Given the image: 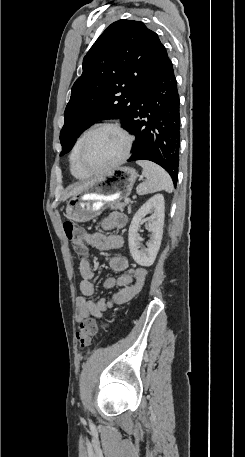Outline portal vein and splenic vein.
<instances>
[{"mask_svg": "<svg viewBox=\"0 0 245 457\" xmlns=\"http://www.w3.org/2000/svg\"><path fill=\"white\" fill-rule=\"evenodd\" d=\"M125 202H130V198H125Z\"/></svg>", "mask_w": 245, "mask_h": 457, "instance_id": "portal-vein-and-splenic-vein-1", "label": "portal vein and splenic vein"}]
</instances>
